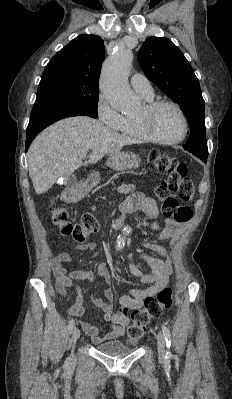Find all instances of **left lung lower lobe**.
Masks as SVG:
<instances>
[{
    "label": "left lung lower lobe",
    "instance_id": "1",
    "mask_svg": "<svg viewBox=\"0 0 232 399\" xmlns=\"http://www.w3.org/2000/svg\"><path fill=\"white\" fill-rule=\"evenodd\" d=\"M203 162H205L206 163V161H207V158H200Z\"/></svg>",
    "mask_w": 232,
    "mask_h": 399
}]
</instances>
